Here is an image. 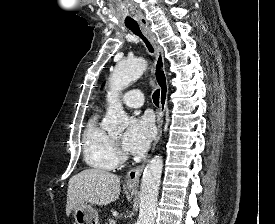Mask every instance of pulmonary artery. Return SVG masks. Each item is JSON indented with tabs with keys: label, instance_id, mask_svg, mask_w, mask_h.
<instances>
[{
	"label": "pulmonary artery",
	"instance_id": "obj_1",
	"mask_svg": "<svg viewBox=\"0 0 275 224\" xmlns=\"http://www.w3.org/2000/svg\"><path fill=\"white\" fill-rule=\"evenodd\" d=\"M122 101L128 107L140 108L144 105V95L141 90H130L124 95Z\"/></svg>",
	"mask_w": 275,
	"mask_h": 224
}]
</instances>
